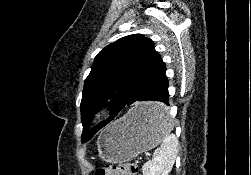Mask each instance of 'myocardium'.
Masks as SVG:
<instances>
[{"label":"myocardium","instance_id":"f54148a6","mask_svg":"<svg viewBox=\"0 0 251 175\" xmlns=\"http://www.w3.org/2000/svg\"><path fill=\"white\" fill-rule=\"evenodd\" d=\"M110 115L109 109L105 106H96L90 112V119L94 123L105 122Z\"/></svg>","mask_w":251,"mask_h":175}]
</instances>
